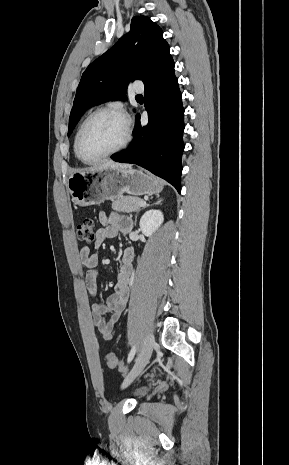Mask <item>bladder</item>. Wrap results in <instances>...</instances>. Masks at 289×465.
I'll return each mask as SVG.
<instances>
[{
  "label": "bladder",
  "mask_w": 289,
  "mask_h": 465,
  "mask_svg": "<svg viewBox=\"0 0 289 465\" xmlns=\"http://www.w3.org/2000/svg\"><path fill=\"white\" fill-rule=\"evenodd\" d=\"M147 391H148V387L147 386H142V387H139L138 389H136L135 395L136 396H142V395L146 394Z\"/></svg>",
  "instance_id": "1"
}]
</instances>
